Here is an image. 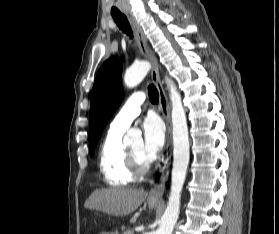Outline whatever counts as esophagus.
<instances>
[{
    "label": "esophagus",
    "instance_id": "obj_1",
    "mask_svg": "<svg viewBox=\"0 0 279 234\" xmlns=\"http://www.w3.org/2000/svg\"><path fill=\"white\" fill-rule=\"evenodd\" d=\"M128 18V21L132 28L134 29L137 39L139 42V47L141 52L151 61L152 69H151V78L153 83L155 84L158 93H159V108L161 110L162 116L166 122L167 126V144H166V157L163 161V164L160 168V177L158 183L150 190L149 198L152 200H160L162 199L165 183L168 178L169 174V167H170V160H171V151H172V124H171V114H170V107L167 100L166 93L164 91L160 74H159V65L155 54L150 49L146 36L136 22L135 18L132 14L128 11L124 12Z\"/></svg>",
    "mask_w": 279,
    "mask_h": 234
}]
</instances>
